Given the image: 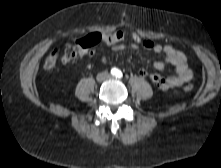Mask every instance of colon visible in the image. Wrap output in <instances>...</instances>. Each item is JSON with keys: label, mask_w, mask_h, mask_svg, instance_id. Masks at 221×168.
Segmentation results:
<instances>
[{"label": "colon", "mask_w": 221, "mask_h": 168, "mask_svg": "<svg viewBox=\"0 0 221 168\" xmlns=\"http://www.w3.org/2000/svg\"><path fill=\"white\" fill-rule=\"evenodd\" d=\"M136 45L139 48L145 46L146 41L144 38H141L139 32H131L128 36V33L124 29H114L113 31L104 32V33H93L88 35L85 38L75 40L71 43L65 45L64 48H57L54 50L45 60L44 68L47 70L53 69L58 61L62 63H67L72 60H75L83 56L89 49L96 46L98 43L112 44L117 42L125 41L126 39ZM193 87L187 85L185 91H192Z\"/></svg>", "instance_id": "1"}]
</instances>
